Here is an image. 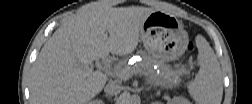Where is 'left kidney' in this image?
<instances>
[{
    "mask_svg": "<svg viewBox=\"0 0 252 104\" xmlns=\"http://www.w3.org/2000/svg\"><path fill=\"white\" fill-rule=\"evenodd\" d=\"M173 102L174 103H183V104L188 103V101L185 98H182V97H175V98H173Z\"/></svg>",
    "mask_w": 252,
    "mask_h": 104,
    "instance_id": "left-kidney-1",
    "label": "left kidney"
}]
</instances>
